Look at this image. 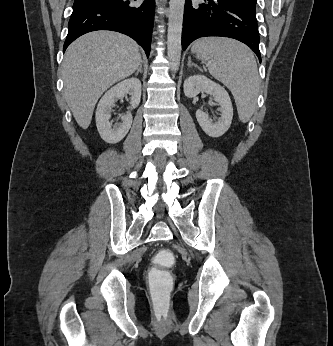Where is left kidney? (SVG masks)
<instances>
[{"label": "left kidney", "instance_id": "left-kidney-1", "mask_svg": "<svg viewBox=\"0 0 333 346\" xmlns=\"http://www.w3.org/2000/svg\"><path fill=\"white\" fill-rule=\"evenodd\" d=\"M201 91L213 96L220 105L221 117L217 122L209 121L208 115L201 109L196 111V118L203 131L210 137L222 136L230 127L233 107L227 91L204 75H193L184 81V93L187 97L197 96Z\"/></svg>", "mask_w": 333, "mask_h": 346}]
</instances>
